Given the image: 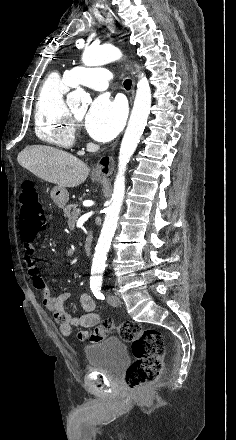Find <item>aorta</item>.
Masks as SVG:
<instances>
[{"mask_svg": "<svg viewBox=\"0 0 236 440\" xmlns=\"http://www.w3.org/2000/svg\"><path fill=\"white\" fill-rule=\"evenodd\" d=\"M122 52L113 45H103L98 47H86L82 62L86 66H98L119 60ZM90 101L89 96L81 88H78L67 96V104L74 106ZM151 109V89L144 74L139 75L137 83L136 97L130 115L128 126L121 142L119 151L118 174L114 182L112 203L106 210L105 220L101 230L98 243L92 261L91 279L99 281L105 269L107 253L110 249L111 241L117 228L119 213L125 195V171L126 166L135 152L140 138L147 124Z\"/></svg>", "mask_w": 236, "mask_h": 440, "instance_id": "762f6f07", "label": "aorta"}]
</instances>
